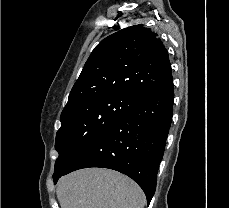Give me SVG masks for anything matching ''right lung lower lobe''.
<instances>
[{
    "mask_svg": "<svg viewBox=\"0 0 229 208\" xmlns=\"http://www.w3.org/2000/svg\"><path fill=\"white\" fill-rule=\"evenodd\" d=\"M173 80L146 95L109 128L93 138L57 180L87 167L117 170L143 189L149 205L173 115Z\"/></svg>",
    "mask_w": 229,
    "mask_h": 208,
    "instance_id": "obj_1",
    "label": "right lung lower lobe"
}]
</instances>
